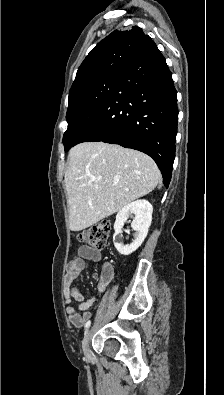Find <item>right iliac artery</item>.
<instances>
[{
  "label": "right iliac artery",
  "mask_w": 224,
  "mask_h": 395,
  "mask_svg": "<svg viewBox=\"0 0 224 395\" xmlns=\"http://www.w3.org/2000/svg\"><path fill=\"white\" fill-rule=\"evenodd\" d=\"M90 325H91V321L88 320V321L85 323V331L88 330V328L90 327Z\"/></svg>",
  "instance_id": "obj_1"
}]
</instances>
